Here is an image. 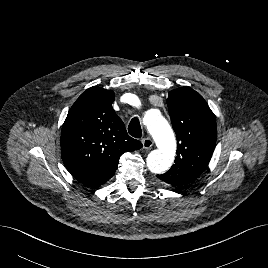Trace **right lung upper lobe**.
I'll use <instances>...</instances> for the list:
<instances>
[{
    "label": "right lung upper lobe",
    "instance_id": "1",
    "mask_svg": "<svg viewBox=\"0 0 268 268\" xmlns=\"http://www.w3.org/2000/svg\"><path fill=\"white\" fill-rule=\"evenodd\" d=\"M115 94L99 87L87 89L73 104L61 132L62 160L82 184L97 187L115 173L124 152L142 144L131 138L112 108Z\"/></svg>",
    "mask_w": 268,
    "mask_h": 268
}]
</instances>
